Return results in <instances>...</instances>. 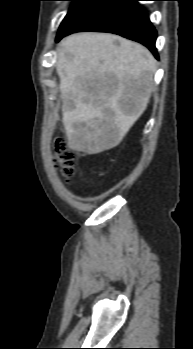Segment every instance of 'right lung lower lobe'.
Masks as SVG:
<instances>
[{"mask_svg": "<svg viewBox=\"0 0 193 349\" xmlns=\"http://www.w3.org/2000/svg\"><path fill=\"white\" fill-rule=\"evenodd\" d=\"M138 1L103 0L71 28L58 35L56 41L79 31L110 32L142 43L158 59L155 48L157 32Z\"/></svg>", "mask_w": 193, "mask_h": 349, "instance_id": "obj_1", "label": "right lung lower lobe"}]
</instances>
